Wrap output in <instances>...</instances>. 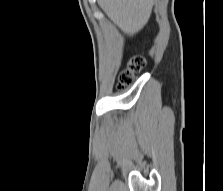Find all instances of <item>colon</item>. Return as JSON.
Returning <instances> with one entry per match:
<instances>
[{
  "instance_id": "1",
  "label": "colon",
  "mask_w": 223,
  "mask_h": 191,
  "mask_svg": "<svg viewBox=\"0 0 223 191\" xmlns=\"http://www.w3.org/2000/svg\"><path fill=\"white\" fill-rule=\"evenodd\" d=\"M145 66V60L142 57L132 58L125 69L118 75L117 90H123L131 86L135 79V74L140 72Z\"/></svg>"
}]
</instances>
